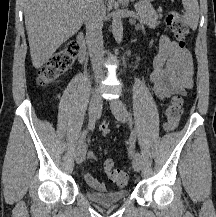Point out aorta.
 Wrapping results in <instances>:
<instances>
[{
	"instance_id": "aorta-1",
	"label": "aorta",
	"mask_w": 216,
	"mask_h": 217,
	"mask_svg": "<svg viewBox=\"0 0 216 217\" xmlns=\"http://www.w3.org/2000/svg\"><path fill=\"white\" fill-rule=\"evenodd\" d=\"M112 33L115 41L120 44L123 40V25L118 12H114L112 15Z\"/></svg>"
}]
</instances>
